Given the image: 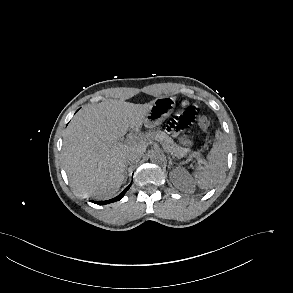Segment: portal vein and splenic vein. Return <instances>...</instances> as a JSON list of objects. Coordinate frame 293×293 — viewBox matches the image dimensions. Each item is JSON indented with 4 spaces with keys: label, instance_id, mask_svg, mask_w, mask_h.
I'll return each instance as SVG.
<instances>
[{
    "label": "portal vein and splenic vein",
    "instance_id": "obj_1",
    "mask_svg": "<svg viewBox=\"0 0 293 293\" xmlns=\"http://www.w3.org/2000/svg\"><path fill=\"white\" fill-rule=\"evenodd\" d=\"M135 140H138V137L135 135V136H129L127 139H126V142H133ZM200 163H204L203 160H199Z\"/></svg>",
    "mask_w": 293,
    "mask_h": 293
}]
</instances>
